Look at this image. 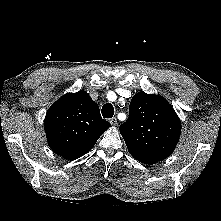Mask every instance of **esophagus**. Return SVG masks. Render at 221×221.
I'll use <instances>...</instances> for the list:
<instances>
[{
  "instance_id": "34e87169",
  "label": "esophagus",
  "mask_w": 221,
  "mask_h": 221,
  "mask_svg": "<svg viewBox=\"0 0 221 221\" xmlns=\"http://www.w3.org/2000/svg\"><path fill=\"white\" fill-rule=\"evenodd\" d=\"M110 123L112 124V125H117V119H116V117H113V118H111L110 119Z\"/></svg>"
}]
</instances>
